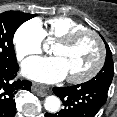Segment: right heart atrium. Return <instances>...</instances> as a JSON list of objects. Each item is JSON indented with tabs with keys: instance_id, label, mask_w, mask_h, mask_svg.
I'll list each match as a JSON object with an SVG mask.
<instances>
[{
	"instance_id": "d8ad5b80",
	"label": "right heart atrium",
	"mask_w": 117,
	"mask_h": 117,
	"mask_svg": "<svg viewBox=\"0 0 117 117\" xmlns=\"http://www.w3.org/2000/svg\"><path fill=\"white\" fill-rule=\"evenodd\" d=\"M43 38L42 26L37 20L23 23L13 38L17 57L22 60L41 53Z\"/></svg>"
}]
</instances>
